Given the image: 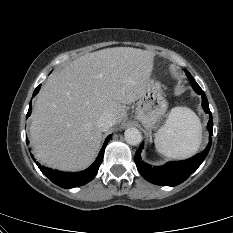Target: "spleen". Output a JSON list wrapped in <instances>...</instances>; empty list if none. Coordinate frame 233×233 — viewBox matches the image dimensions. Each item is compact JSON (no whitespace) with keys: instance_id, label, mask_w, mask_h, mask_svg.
<instances>
[{"instance_id":"1","label":"spleen","mask_w":233,"mask_h":233,"mask_svg":"<svg viewBox=\"0 0 233 233\" xmlns=\"http://www.w3.org/2000/svg\"><path fill=\"white\" fill-rule=\"evenodd\" d=\"M202 140L199 117L189 108L175 107L155 134V147L161 154L184 159L195 154Z\"/></svg>"}]
</instances>
